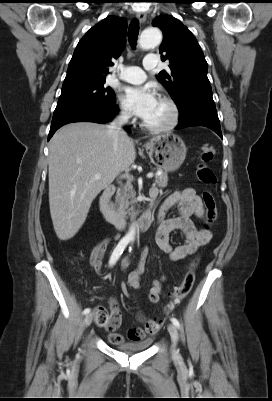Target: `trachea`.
<instances>
[{
    "mask_svg": "<svg viewBox=\"0 0 272 401\" xmlns=\"http://www.w3.org/2000/svg\"><path fill=\"white\" fill-rule=\"evenodd\" d=\"M138 34H139V22L138 20L134 19L131 21L128 29V40L133 48L136 46Z\"/></svg>",
    "mask_w": 272,
    "mask_h": 401,
    "instance_id": "obj_1",
    "label": "trachea"
}]
</instances>
